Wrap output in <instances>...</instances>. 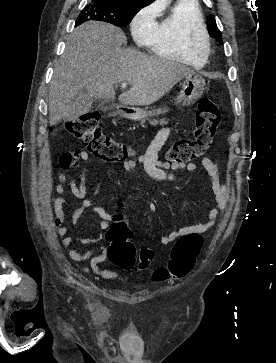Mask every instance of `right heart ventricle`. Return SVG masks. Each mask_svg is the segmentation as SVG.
I'll list each match as a JSON object with an SVG mask.
<instances>
[{"instance_id":"right-heart-ventricle-1","label":"right heart ventricle","mask_w":276,"mask_h":363,"mask_svg":"<svg viewBox=\"0 0 276 363\" xmlns=\"http://www.w3.org/2000/svg\"><path fill=\"white\" fill-rule=\"evenodd\" d=\"M193 29L206 30L197 2L178 0L156 24L146 44L158 57L202 68L206 59L191 51L188 44V36Z\"/></svg>"}]
</instances>
